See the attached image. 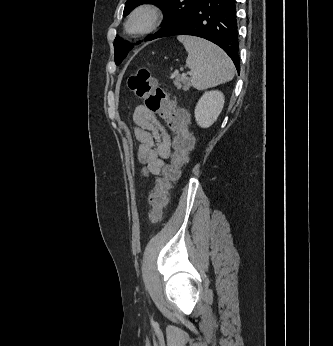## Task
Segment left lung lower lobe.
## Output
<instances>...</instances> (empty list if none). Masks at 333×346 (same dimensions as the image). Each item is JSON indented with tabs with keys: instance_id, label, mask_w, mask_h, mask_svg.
<instances>
[{
	"instance_id": "1",
	"label": "left lung lower lobe",
	"mask_w": 333,
	"mask_h": 346,
	"mask_svg": "<svg viewBox=\"0 0 333 346\" xmlns=\"http://www.w3.org/2000/svg\"><path fill=\"white\" fill-rule=\"evenodd\" d=\"M173 35L198 36L217 44L240 72L235 0H198L182 20L160 37Z\"/></svg>"
}]
</instances>
